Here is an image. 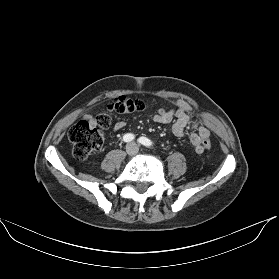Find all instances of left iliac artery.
<instances>
[{"label":"left iliac artery","mask_w":279,"mask_h":279,"mask_svg":"<svg viewBox=\"0 0 279 279\" xmlns=\"http://www.w3.org/2000/svg\"><path fill=\"white\" fill-rule=\"evenodd\" d=\"M139 142L144 146H148V147L152 145V142L146 137H140Z\"/></svg>","instance_id":"obj_1"}]
</instances>
